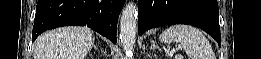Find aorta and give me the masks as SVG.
I'll use <instances>...</instances> for the list:
<instances>
[{
    "mask_svg": "<svg viewBox=\"0 0 261 59\" xmlns=\"http://www.w3.org/2000/svg\"><path fill=\"white\" fill-rule=\"evenodd\" d=\"M138 9L133 2L126 4L120 19V42L127 56H133L136 42Z\"/></svg>",
    "mask_w": 261,
    "mask_h": 59,
    "instance_id": "1",
    "label": "aorta"
}]
</instances>
